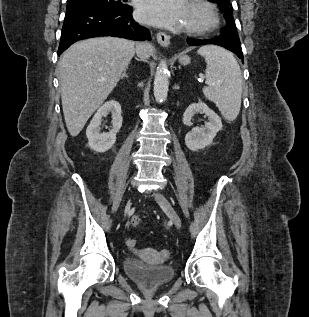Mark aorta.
I'll use <instances>...</instances> for the list:
<instances>
[{
    "mask_svg": "<svg viewBox=\"0 0 309 317\" xmlns=\"http://www.w3.org/2000/svg\"><path fill=\"white\" fill-rule=\"evenodd\" d=\"M169 87V70L166 61H161L154 78V96L158 103L166 100Z\"/></svg>",
    "mask_w": 309,
    "mask_h": 317,
    "instance_id": "762f6f07",
    "label": "aorta"
}]
</instances>
